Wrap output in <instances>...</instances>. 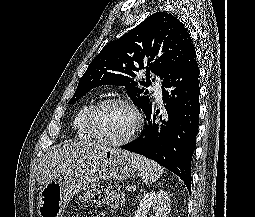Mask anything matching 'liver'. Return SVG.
Masks as SVG:
<instances>
[{
  "label": "liver",
  "instance_id": "liver-1",
  "mask_svg": "<svg viewBox=\"0 0 255 217\" xmlns=\"http://www.w3.org/2000/svg\"><path fill=\"white\" fill-rule=\"evenodd\" d=\"M103 149L102 145L95 142H71L52 148L40 160L37 182L45 186L82 166L86 160L99 155Z\"/></svg>",
  "mask_w": 255,
  "mask_h": 217
}]
</instances>
